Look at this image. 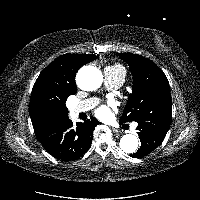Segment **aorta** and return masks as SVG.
Listing matches in <instances>:
<instances>
[{
	"mask_svg": "<svg viewBox=\"0 0 200 200\" xmlns=\"http://www.w3.org/2000/svg\"><path fill=\"white\" fill-rule=\"evenodd\" d=\"M78 86L85 91H93L99 88L103 82L101 71L94 66H85L78 71ZM120 148L126 153H134L138 149L139 142L137 137L126 134L120 139Z\"/></svg>",
	"mask_w": 200,
	"mask_h": 200,
	"instance_id": "aorta-1",
	"label": "aorta"
}]
</instances>
